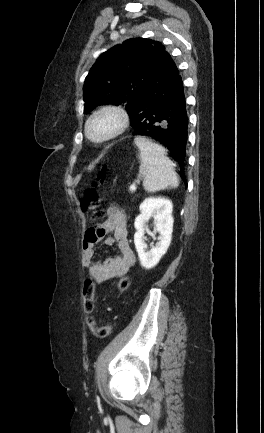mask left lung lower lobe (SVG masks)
<instances>
[{
	"label": "left lung lower lobe",
	"mask_w": 264,
	"mask_h": 433,
	"mask_svg": "<svg viewBox=\"0 0 264 433\" xmlns=\"http://www.w3.org/2000/svg\"><path fill=\"white\" fill-rule=\"evenodd\" d=\"M133 135L151 137L171 152L185 183L188 116L182 77L170 58L156 78L140 93L129 112Z\"/></svg>",
	"instance_id": "0a47b994"
}]
</instances>
